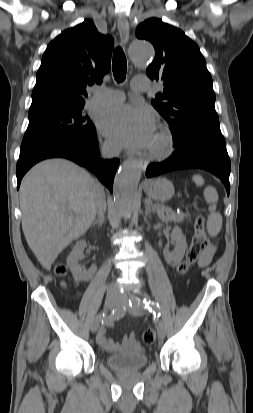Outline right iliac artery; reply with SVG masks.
I'll list each match as a JSON object with an SVG mask.
<instances>
[{
	"label": "right iliac artery",
	"mask_w": 253,
	"mask_h": 413,
	"mask_svg": "<svg viewBox=\"0 0 253 413\" xmlns=\"http://www.w3.org/2000/svg\"><path fill=\"white\" fill-rule=\"evenodd\" d=\"M125 308L124 307H118L117 309L113 310L112 314L110 316H106L105 312L99 313L96 316V319L99 321L106 322V323H112L113 321L122 318L125 315Z\"/></svg>",
	"instance_id": "right-iliac-artery-1"
}]
</instances>
